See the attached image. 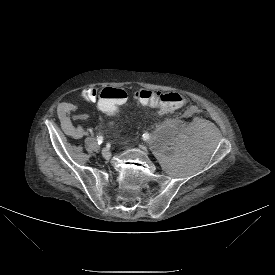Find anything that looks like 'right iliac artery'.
Returning a JSON list of instances; mask_svg holds the SVG:
<instances>
[{
	"label": "right iliac artery",
	"instance_id": "82829eb1",
	"mask_svg": "<svg viewBox=\"0 0 275 275\" xmlns=\"http://www.w3.org/2000/svg\"><path fill=\"white\" fill-rule=\"evenodd\" d=\"M103 136H97V142L98 144H101L103 142Z\"/></svg>",
	"mask_w": 275,
	"mask_h": 275
}]
</instances>
